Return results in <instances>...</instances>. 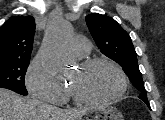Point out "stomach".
Wrapping results in <instances>:
<instances>
[{"instance_id":"0dacf381","label":"stomach","mask_w":165,"mask_h":120,"mask_svg":"<svg viewBox=\"0 0 165 120\" xmlns=\"http://www.w3.org/2000/svg\"><path fill=\"white\" fill-rule=\"evenodd\" d=\"M80 120H124L121 112L112 106L89 109Z\"/></svg>"}]
</instances>
